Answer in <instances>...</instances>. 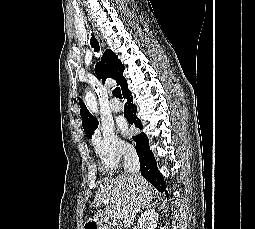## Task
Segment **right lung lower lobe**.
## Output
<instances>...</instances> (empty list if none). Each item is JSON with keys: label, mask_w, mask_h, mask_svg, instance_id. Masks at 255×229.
Returning a JSON list of instances; mask_svg holds the SVG:
<instances>
[{"label": "right lung lower lobe", "mask_w": 255, "mask_h": 229, "mask_svg": "<svg viewBox=\"0 0 255 229\" xmlns=\"http://www.w3.org/2000/svg\"><path fill=\"white\" fill-rule=\"evenodd\" d=\"M123 97L127 99L124 109V115L130 124H134L137 128L142 129L143 125L140 120L136 118V105L133 104V97L128 89V85L122 90ZM136 142V151L140 160L141 175L152 183L160 192H165L166 183L163 179L162 174L158 171L157 164L152 151L149 150V140L146 134L141 132L134 138Z\"/></svg>", "instance_id": "1"}]
</instances>
